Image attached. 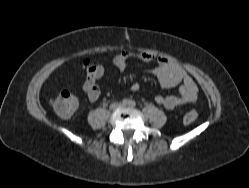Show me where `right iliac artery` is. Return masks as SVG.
Returning <instances> with one entry per match:
<instances>
[{"instance_id": "obj_1", "label": "right iliac artery", "mask_w": 249, "mask_h": 188, "mask_svg": "<svg viewBox=\"0 0 249 188\" xmlns=\"http://www.w3.org/2000/svg\"><path fill=\"white\" fill-rule=\"evenodd\" d=\"M122 104H123V105H127V104H128V101H127V100H123Z\"/></svg>"}]
</instances>
